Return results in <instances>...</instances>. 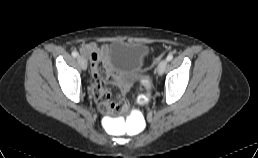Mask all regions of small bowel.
<instances>
[{"mask_svg": "<svg viewBox=\"0 0 258 158\" xmlns=\"http://www.w3.org/2000/svg\"><path fill=\"white\" fill-rule=\"evenodd\" d=\"M108 49L109 45H98L95 42L84 43L80 47L81 53L89 58L91 62V92L101 108L110 100L112 91L114 89H118L120 96L125 95L129 89L128 84H119L116 77L114 76L113 70L106 58Z\"/></svg>", "mask_w": 258, "mask_h": 158, "instance_id": "c3829d8e", "label": "small bowel"}]
</instances>
